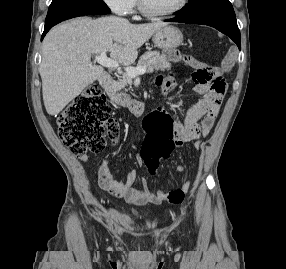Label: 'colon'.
Masks as SVG:
<instances>
[{
	"mask_svg": "<svg viewBox=\"0 0 286 269\" xmlns=\"http://www.w3.org/2000/svg\"><path fill=\"white\" fill-rule=\"evenodd\" d=\"M160 58L165 62H181L182 66H194V83L190 88H199V91L209 95L207 110H216L218 100H224L226 83L221 70L224 65H207V61H200L189 54H182V49H160ZM179 54H182L180 57ZM189 59V61H184ZM110 107L106 96L98 85L89 86L58 116V133L64 144L71 152L81 157L86 152H97L103 149L107 141L115 144L119 136L117 121L109 116ZM172 111L164 107L149 108L141 116L145 126L144 156L145 166L151 173L162 167L163 159H168L178 146V140L172 126L175 121ZM185 191H178V200H184Z\"/></svg>",
	"mask_w": 286,
	"mask_h": 269,
	"instance_id": "1",
	"label": "colon"
}]
</instances>
